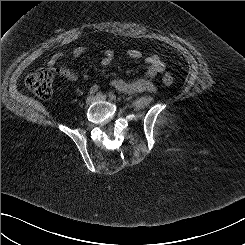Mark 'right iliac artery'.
<instances>
[{
	"mask_svg": "<svg viewBox=\"0 0 245 245\" xmlns=\"http://www.w3.org/2000/svg\"><path fill=\"white\" fill-rule=\"evenodd\" d=\"M102 95V93L101 92H98L97 94H96V96H101Z\"/></svg>",
	"mask_w": 245,
	"mask_h": 245,
	"instance_id": "obj_1",
	"label": "right iliac artery"
}]
</instances>
